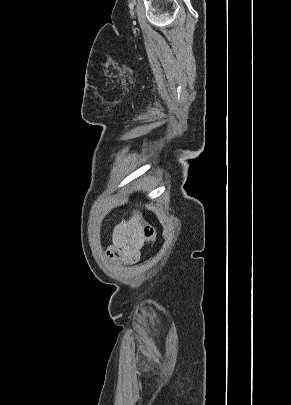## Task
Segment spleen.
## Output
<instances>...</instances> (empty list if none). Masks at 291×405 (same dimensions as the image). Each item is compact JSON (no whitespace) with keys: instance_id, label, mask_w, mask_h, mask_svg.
Segmentation results:
<instances>
[{"instance_id":"obj_1","label":"spleen","mask_w":291,"mask_h":405,"mask_svg":"<svg viewBox=\"0 0 291 405\" xmlns=\"http://www.w3.org/2000/svg\"><path fill=\"white\" fill-rule=\"evenodd\" d=\"M141 215H139L138 213L134 214V218H140Z\"/></svg>"}]
</instances>
